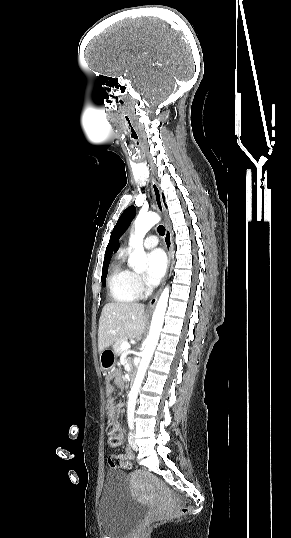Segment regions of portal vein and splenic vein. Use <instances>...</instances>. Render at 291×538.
Wrapping results in <instances>:
<instances>
[{
	"mask_svg": "<svg viewBox=\"0 0 291 538\" xmlns=\"http://www.w3.org/2000/svg\"><path fill=\"white\" fill-rule=\"evenodd\" d=\"M130 347H131V345H130L128 342H123V343L121 344V349H122V350H127V349H129Z\"/></svg>",
	"mask_w": 291,
	"mask_h": 538,
	"instance_id": "18ae733b",
	"label": "portal vein and splenic vein"
}]
</instances>
